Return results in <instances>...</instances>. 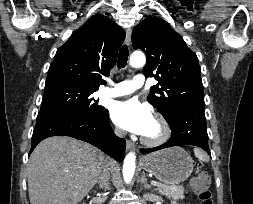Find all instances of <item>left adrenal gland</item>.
Returning <instances> with one entry per match:
<instances>
[{"label":"left adrenal gland","instance_id":"1","mask_svg":"<svg viewBox=\"0 0 253 204\" xmlns=\"http://www.w3.org/2000/svg\"><path fill=\"white\" fill-rule=\"evenodd\" d=\"M139 182L141 183V185H143L145 188H151V186L148 184L147 182V178L145 177V172H142V176L141 179L139 180Z\"/></svg>","mask_w":253,"mask_h":204}]
</instances>
